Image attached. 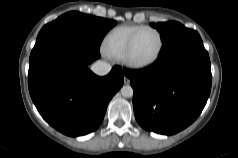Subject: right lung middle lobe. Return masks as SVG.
<instances>
[{"mask_svg": "<svg viewBox=\"0 0 238 158\" xmlns=\"http://www.w3.org/2000/svg\"><path fill=\"white\" fill-rule=\"evenodd\" d=\"M115 24L114 20L71 11L46 24L38 34L36 41L48 34L64 33L74 36L94 49H99L104 35Z\"/></svg>", "mask_w": 238, "mask_h": 158, "instance_id": "1", "label": "right lung middle lobe"}]
</instances>
